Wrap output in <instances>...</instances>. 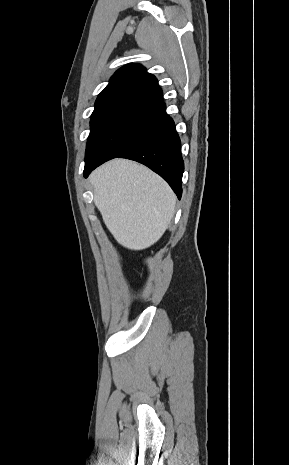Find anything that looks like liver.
<instances>
[{
  "label": "liver",
  "instance_id": "obj_1",
  "mask_svg": "<svg viewBox=\"0 0 289 465\" xmlns=\"http://www.w3.org/2000/svg\"><path fill=\"white\" fill-rule=\"evenodd\" d=\"M89 181L94 203L119 244L142 250L162 237L176 196L161 177L136 162L114 159L93 171Z\"/></svg>",
  "mask_w": 289,
  "mask_h": 465
}]
</instances>
